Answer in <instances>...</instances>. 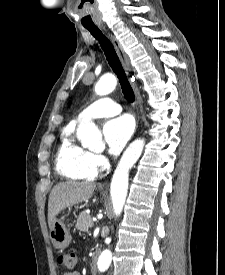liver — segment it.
Returning <instances> with one entry per match:
<instances>
[{"label": "liver", "mask_w": 225, "mask_h": 275, "mask_svg": "<svg viewBox=\"0 0 225 275\" xmlns=\"http://www.w3.org/2000/svg\"><path fill=\"white\" fill-rule=\"evenodd\" d=\"M96 189L91 182L67 181L56 184L50 192L48 200L49 228L56 216L67 207L86 202Z\"/></svg>", "instance_id": "1"}]
</instances>
